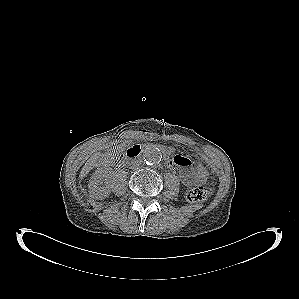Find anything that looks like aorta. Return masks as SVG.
I'll list each match as a JSON object with an SVG mask.
<instances>
[{
	"label": "aorta",
	"instance_id": "aorta-1",
	"mask_svg": "<svg viewBox=\"0 0 299 299\" xmlns=\"http://www.w3.org/2000/svg\"><path fill=\"white\" fill-rule=\"evenodd\" d=\"M162 159V152L156 146H147L143 150V160L149 165L159 164Z\"/></svg>",
	"mask_w": 299,
	"mask_h": 299
}]
</instances>
